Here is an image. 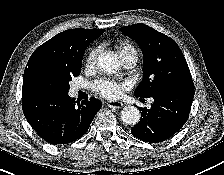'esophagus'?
<instances>
[{
    "label": "esophagus",
    "mask_w": 224,
    "mask_h": 175,
    "mask_svg": "<svg viewBox=\"0 0 224 175\" xmlns=\"http://www.w3.org/2000/svg\"><path fill=\"white\" fill-rule=\"evenodd\" d=\"M107 105L111 108H122L123 107V103L120 101H108Z\"/></svg>",
    "instance_id": "1"
}]
</instances>
